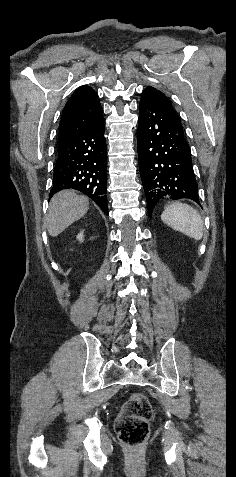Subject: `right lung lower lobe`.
Returning a JSON list of instances; mask_svg holds the SVG:
<instances>
[{
	"label": "right lung lower lobe",
	"mask_w": 236,
	"mask_h": 477,
	"mask_svg": "<svg viewBox=\"0 0 236 477\" xmlns=\"http://www.w3.org/2000/svg\"><path fill=\"white\" fill-rule=\"evenodd\" d=\"M103 116L68 143L58 146L50 195L75 189L90 197L108 214L106 186L107 147Z\"/></svg>",
	"instance_id": "obj_1"
}]
</instances>
